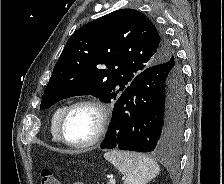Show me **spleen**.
<instances>
[{
  "instance_id": "3e777b00",
  "label": "spleen",
  "mask_w": 224,
  "mask_h": 184,
  "mask_svg": "<svg viewBox=\"0 0 224 184\" xmlns=\"http://www.w3.org/2000/svg\"><path fill=\"white\" fill-rule=\"evenodd\" d=\"M104 158L125 176L124 184H146L160 171L156 161L135 152L114 150L105 153Z\"/></svg>"
}]
</instances>
